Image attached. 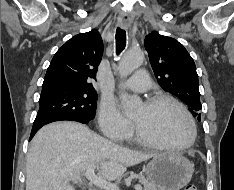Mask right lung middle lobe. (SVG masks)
<instances>
[{"label": "right lung middle lobe", "mask_w": 234, "mask_h": 190, "mask_svg": "<svg viewBox=\"0 0 234 190\" xmlns=\"http://www.w3.org/2000/svg\"><path fill=\"white\" fill-rule=\"evenodd\" d=\"M97 94L94 89L65 85L42 86L40 108L33 128L58 118H74L90 122L95 113Z\"/></svg>", "instance_id": "right-lung-middle-lobe-1"}]
</instances>
